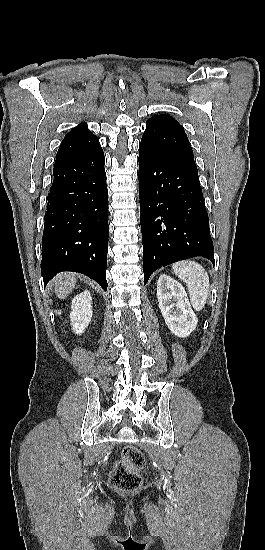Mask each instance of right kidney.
Instances as JSON below:
<instances>
[{"label":"right kidney","mask_w":265,"mask_h":550,"mask_svg":"<svg viewBox=\"0 0 265 550\" xmlns=\"http://www.w3.org/2000/svg\"><path fill=\"white\" fill-rule=\"evenodd\" d=\"M70 320L76 334H82L92 318V297L88 290L74 297Z\"/></svg>","instance_id":"obj_1"}]
</instances>
